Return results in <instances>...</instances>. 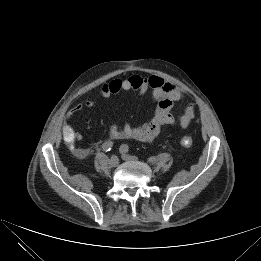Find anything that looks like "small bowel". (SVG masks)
<instances>
[{
	"instance_id": "obj_1",
	"label": "small bowel",
	"mask_w": 261,
	"mask_h": 261,
	"mask_svg": "<svg viewBox=\"0 0 261 261\" xmlns=\"http://www.w3.org/2000/svg\"><path fill=\"white\" fill-rule=\"evenodd\" d=\"M149 90L151 91L152 101L156 103L152 118L138 126L125 123L120 127L115 123H111L109 127V136L111 139L150 141L158 136L162 126H172L175 123L171 110L175 102L182 98V91L176 85L164 81L159 76L151 75L146 77L133 74L126 78H115L102 86L100 94L103 98L108 99L121 91H134L138 94H144ZM93 106L94 102L92 101L79 102L68 111L66 123L63 127V137L70 145H74L77 141H80L82 135L73 130L69 124V120L82 109ZM194 116V106L188 105L179 119L180 126L186 129ZM75 152L79 157H85L89 154L90 150L87 148H76Z\"/></svg>"
}]
</instances>
